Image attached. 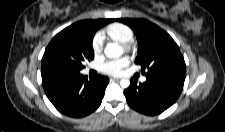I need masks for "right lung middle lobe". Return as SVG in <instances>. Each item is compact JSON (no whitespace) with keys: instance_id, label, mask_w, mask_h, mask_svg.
Here are the masks:
<instances>
[{"instance_id":"1","label":"right lung middle lobe","mask_w":225,"mask_h":132,"mask_svg":"<svg viewBox=\"0 0 225 132\" xmlns=\"http://www.w3.org/2000/svg\"><path fill=\"white\" fill-rule=\"evenodd\" d=\"M99 26L81 22L53 37L41 61V74L47 77L70 76L80 73L83 62L94 58L92 39Z\"/></svg>"}]
</instances>
